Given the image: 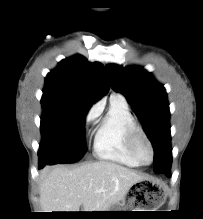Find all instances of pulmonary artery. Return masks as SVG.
Here are the masks:
<instances>
[{
    "label": "pulmonary artery",
    "mask_w": 203,
    "mask_h": 219,
    "mask_svg": "<svg viewBox=\"0 0 203 219\" xmlns=\"http://www.w3.org/2000/svg\"><path fill=\"white\" fill-rule=\"evenodd\" d=\"M111 98L126 103V100H125L124 96L121 95V94H116L115 93L111 96Z\"/></svg>",
    "instance_id": "1"
}]
</instances>
